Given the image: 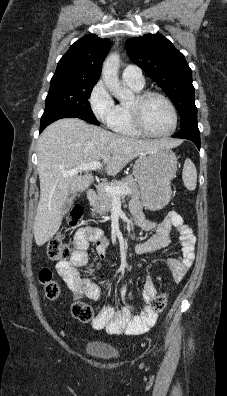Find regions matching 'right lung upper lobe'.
<instances>
[{
    "mask_svg": "<svg viewBox=\"0 0 227 396\" xmlns=\"http://www.w3.org/2000/svg\"><path fill=\"white\" fill-rule=\"evenodd\" d=\"M110 40L88 34L76 41L58 62L56 75L98 80Z\"/></svg>",
    "mask_w": 227,
    "mask_h": 396,
    "instance_id": "cb5924a9",
    "label": "right lung upper lobe"
}]
</instances>
